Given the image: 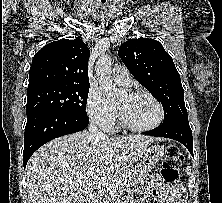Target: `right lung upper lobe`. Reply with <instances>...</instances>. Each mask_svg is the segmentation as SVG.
<instances>
[{"label":"right lung upper lobe","instance_id":"obj_1","mask_svg":"<svg viewBox=\"0 0 222 203\" xmlns=\"http://www.w3.org/2000/svg\"><path fill=\"white\" fill-rule=\"evenodd\" d=\"M90 51L84 42L61 39L35 54L29 70L27 90L56 85H89Z\"/></svg>","mask_w":222,"mask_h":203}]
</instances>
